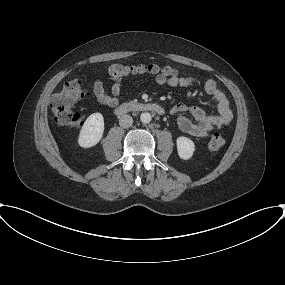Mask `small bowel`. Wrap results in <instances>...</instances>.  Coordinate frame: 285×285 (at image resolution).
<instances>
[{
    "instance_id": "obj_1",
    "label": "small bowel",
    "mask_w": 285,
    "mask_h": 285,
    "mask_svg": "<svg viewBox=\"0 0 285 285\" xmlns=\"http://www.w3.org/2000/svg\"><path fill=\"white\" fill-rule=\"evenodd\" d=\"M155 81L159 86L166 85L169 87H190L196 84L194 78L178 76L170 78L157 76ZM203 89L215 102L217 113L208 115L202 108L198 106H188L184 103H178L171 109V113L177 118V124L180 130L197 138L208 137L211 133L228 126L233 119V112L229 101L215 80L206 79L203 83ZM93 91L101 104L113 108L120 103L122 85L116 81L112 85L110 93H108L104 89L102 81L96 80L93 85ZM186 113H189L195 122L189 119L185 115Z\"/></svg>"
}]
</instances>
